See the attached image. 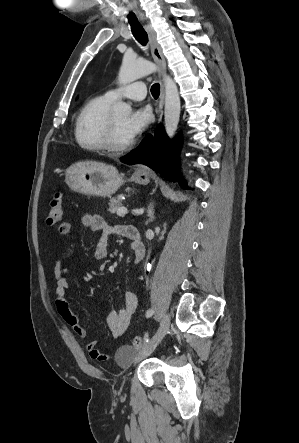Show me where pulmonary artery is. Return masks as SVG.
Segmentation results:
<instances>
[{"mask_svg": "<svg viewBox=\"0 0 299 443\" xmlns=\"http://www.w3.org/2000/svg\"><path fill=\"white\" fill-rule=\"evenodd\" d=\"M146 93L145 83L137 81L121 88L111 89L105 95L112 101L122 97L139 101L145 98Z\"/></svg>", "mask_w": 299, "mask_h": 443, "instance_id": "obj_1", "label": "pulmonary artery"}]
</instances>
